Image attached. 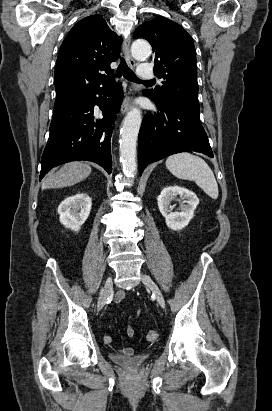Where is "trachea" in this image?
I'll return each mask as SVG.
<instances>
[{
    "label": "trachea",
    "mask_w": 272,
    "mask_h": 411,
    "mask_svg": "<svg viewBox=\"0 0 272 411\" xmlns=\"http://www.w3.org/2000/svg\"><path fill=\"white\" fill-rule=\"evenodd\" d=\"M116 75L118 77L123 75L128 81H132V82H144V83H152L153 82L152 80H150V81H141L135 75V73L128 67V65L126 64L124 58H121V61H120V64L118 66Z\"/></svg>",
    "instance_id": "obj_1"
}]
</instances>
